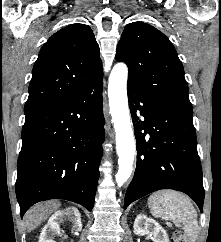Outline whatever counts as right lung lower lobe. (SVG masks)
Segmentation results:
<instances>
[{"label": "right lung lower lobe", "instance_id": "98d812e1", "mask_svg": "<svg viewBox=\"0 0 221 242\" xmlns=\"http://www.w3.org/2000/svg\"><path fill=\"white\" fill-rule=\"evenodd\" d=\"M102 79L62 101L25 111L16 181L21 217L48 199L93 208L104 141Z\"/></svg>", "mask_w": 221, "mask_h": 242}]
</instances>
